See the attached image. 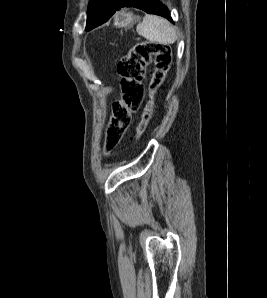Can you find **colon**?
I'll list each match as a JSON object with an SVG mask.
<instances>
[{
    "label": "colon",
    "mask_w": 267,
    "mask_h": 298,
    "mask_svg": "<svg viewBox=\"0 0 267 298\" xmlns=\"http://www.w3.org/2000/svg\"><path fill=\"white\" fill-rule=\"evenodd\" d=\"M153 63V71L148 88V99L143 108L141 119L136 127L135 140L146 131L152 118L155 98L172 63L171 49L167 44L157 42H138L118 64L122 78V102L115 105L104 139V152L109 154L119 143L122 134L128 128L132 115L141 104L143 97L142 80L145 68Z\"/></svg>",
    "instance_id": "obj_1"
}]
</instances>
